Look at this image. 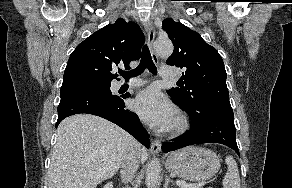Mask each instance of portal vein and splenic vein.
I'll return each instance as SVG.
<instances>
[{
    "instance_id": "1",
    "label": "portal vein and splenic vein",
    "mask_w": 292,
    "mask_h": 188,
    "mask_svg": "<svg viewBox=\"0 0 292 188\" xmlns=\"http://www.w3.org/2000/svg\"><path fill=\"white\" fill-rule=\"evenodd\" d=\"M205 183H199V184H196V185H191V184H187L183 181H179L177 180L176 181V185H178L179 187L181 188H201V186H203Z\"/></svg>"
}]
</instances>
